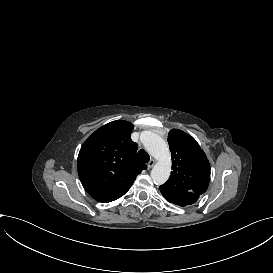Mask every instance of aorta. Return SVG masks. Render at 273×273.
Instances as JSON below:
<instances>
[{
    "label": "aorta",
    "instance_id": "1",
    "mask_svg": "<svg viewBox=\"0 0 273 273\" xmlns=\"http://www.w3.org/2000/svg\"><path fill=\"white\" fill-rule=\"evenodd\" d=\"M147 151L157 160L151 170V178L157 185L164 184L171 172V154L167 143L157 134L148 133L144 139Z\"/></svg>",
    "mask_w": 273,
    "mask_h": 273
}]
</instances>
